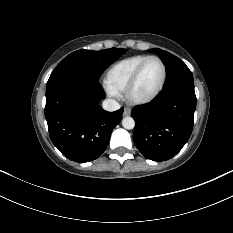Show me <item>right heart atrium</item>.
<instances>
[{
    "mask_svg": "<svg viewBox=\"0 0 233 233\" xmlns=\"http://www.w3.org/2000/svg\"><path fill=\"white\" fill-rule=\"evenodd\" d=\"M107 92L112 95V96H116L117 93H115L114 91L110 90L108 87H107Z\"/></svg>",
    "mask_w": 233,
    "mask_h": 233,
    "instance_id": "1",
    "label": "right heart atrium"
}]
</instances>
